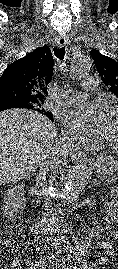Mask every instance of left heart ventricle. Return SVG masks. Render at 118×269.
<instances>
[{"label":"left heart ventricle","mask_w":118,"mask_h":269,"mask_svg":"<svg viewBox=\"0 0 118 269\" xmlns=\"http://www.w3.org/2000/svg\"><path fill=\"white\" fill-rule=\"evenodd\" d=\"M103 141L118 143V112H110L104 125Z\"/></svg>","instance_id":"b2bd125f"}]
</instances>
